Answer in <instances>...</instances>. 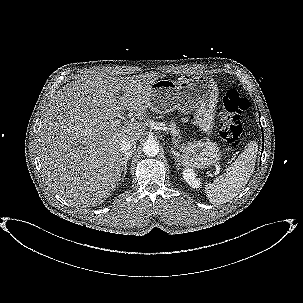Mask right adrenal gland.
Returning a JSON list of instances; mask_svg holds the SVG:
<instances>
[{
	"label": "right adrenal gland",
	"instance_id": "obj_1",
	"mask_svg": "<svg viewBox=\"0 0 303 303\" xmlns=\"http://www.w3.org/2000/svg\"><path fill=\"white\" fill-rule=\"evenodd\" d=\"M131 158V156H127V157H125L124 158V160L122 161V181L124 180V177H125V175H126V173H127V169H128V166H127V162H128V160Z\"/></svg>",
	"mask_w": 303,
	"mask_h": 303
}]
</instances>
